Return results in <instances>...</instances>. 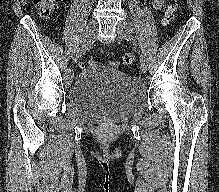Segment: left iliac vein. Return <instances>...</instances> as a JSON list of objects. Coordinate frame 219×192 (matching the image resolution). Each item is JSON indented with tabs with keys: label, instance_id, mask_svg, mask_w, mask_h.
<instances>
[{
	"label": "left iliac vein",
	"instance_id": "obj_1",
	"mask_svg": "<svg viewBox=\"0 0 219 192\" xmlns=\"http://www.w3.org/2000/svg\"><path fill=\"white\" fill-rule=\"evenodd\" d=\"M116 31H117V34H118V38L120 40L125 39L126 34L129 32V30H128L127 26L125 25V23H122V22H119L117 24ZM139 67H140V72L142 74H145L147 72V65H146L145 59H140Z\"/></svg>",
	"mask_w": 219,
	"mask_h": 192
}]
</instances>
